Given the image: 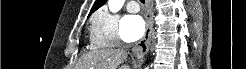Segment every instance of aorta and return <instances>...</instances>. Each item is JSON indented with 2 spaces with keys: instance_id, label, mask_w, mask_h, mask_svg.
I'll list each match as a JSON object with an SVG mask.
<instances>
[{
  "instance_id": "762f6f07",
  "label": "aorta",
  "mask_w": 246,
  "mask_h": 69,
  "mask_svg": "<svg viewBox=\"0 0 246 69\" xmlns=\"http://www.w3.org/2000/svg\"><path fill=\"white\" fill-rule=\"evenodd\" d=\"M124 2L125 0H108L109 10L112 13L118 12L122 8Z\"/></svg>"
}]
</instances>
